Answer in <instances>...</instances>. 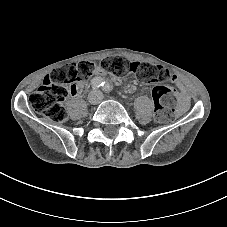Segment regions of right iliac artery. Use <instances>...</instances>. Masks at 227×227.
I'll return each mask as SVG.
<instances>
[{"label": "right iliac artery", "mask_w": 227, "mask_h": 227, "mask_svg": "<svg viewBox=\"0 0 227 227\" xmlns=\"http://www.w3.org/2000/svg\"><path fill=\"white\" fill-rule=\"evenodd\" d=\"M103 85H104V82L101 78H97L92 81V88L95 90L100 88Z\"/></svg>", "instance_id": "right-iliac-artery-1"}]
</instances>
